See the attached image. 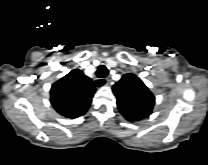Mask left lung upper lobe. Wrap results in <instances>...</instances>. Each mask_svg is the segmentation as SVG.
<instances>
[{"label":"left lung upper lobe","mask_w":208,"mask_h":165,"mask_svg":"<svg viewBox=\"0 0 208 165\" xmlns=\"http://www.w3.org/2000/svg\"><path fill=\"white\" fill-rule=\"evenodd\" d=\"M112 91L117 98L120 113L128 121H139L152 113L155 97L137 76L123 75L113 85Z\"/></svg>","instance_id":"5c2ea615"}]
</instances>
